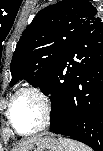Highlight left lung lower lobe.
Instances as JSON below:
<instances>
[{
    "instance_id": "obj_1",
    "label": "left lung lower lobe",
    "mask_w": 103,
    "mask_h": 151,
    "mask_svg": "<svg viewBox=\"0 0 103 151\" xmlns=\"http://www.w3.org/2000/svg\"><path fill=\"white\" fill-rule=\"evenodd\" d=\"M41 90L51 99V132L103 151V23L78 37Z\"/></svg>"
}]
</instances>
